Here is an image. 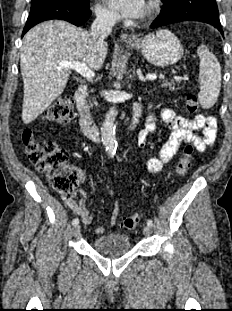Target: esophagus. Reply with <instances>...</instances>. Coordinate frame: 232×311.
I'll return each instance as SVG.
<instances>
[{"instance_id":"34e87169","label":"esophagus","mask_w":232,"mask_h":311,"mask_svg":"<svg viewBox=\"0 0 232 311\" xmlns=\"http://www.w3.org/2000/svg\"><path fill=\"white\" fill-rule=\"evenodd\" d=\"M120 39L122 41H137V37L136 36H133V35H129L127 33H122L120 35Z\"/></svg>"}]
</instances>
